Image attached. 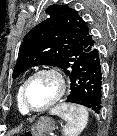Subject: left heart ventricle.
Listing matches in <instances>:
<instances>
[{
	"label": "left heart ventricle",
	"instance_id": "b2bd125f",
	"mask_svg": "<svg viewBox=\"0 0 117 136\" xmlns=\"http://www.w3.org/2000/svg\"><path fill=\"white\" fill-rule=\"evenodd\" d=\"M56 80L49 75L35 77L27 88L28 104L34 109L46 106L57 94Z\"/></svg>",
	"mask_w": 117,
	"mask_h": 136
}]
</instances>
